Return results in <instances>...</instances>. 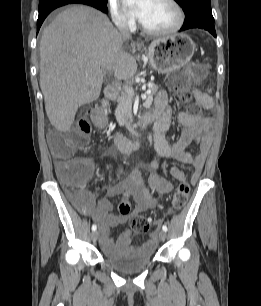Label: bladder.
Segmentation results:
<instances>
[{
	"label": "bladder",
	"mask_w": 261,
	"mask_h": 306,
	"mask_svg": "<svg viewBox=\"0 0 261 306\" xmlns=\"http://www.w3.org/2000/svg\"><path fill=\"white\" fill-rule=\"evenodd\" d=\"M102 258L110 266L123 273H133L148 266L154 258V244L130 245L112 242L111 248L102 249Z\"/></svg>",
	"instance_id": "1"
}]
</instances>
